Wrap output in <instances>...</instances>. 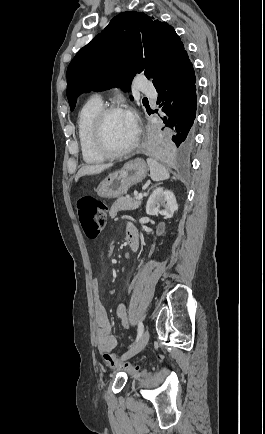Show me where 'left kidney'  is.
Instances as JSON below:
<instances>
[{"label": "left kidney", "mask_w": 265, "mask_h": 434, "mask_svg": "<svg viewBox=\"0 0 265 434\" xmlns=\"http://www.w3.org/2000/svg\"><path fill=\"white\" fill-rule=\"evenodd\" d=\"M159 206H163L164 210H159ZM176 210H178V206L173 192L164 190V188H156L146 204V214L149 216L161 214L165 218H173Z\"/></svg>", "instance_id": "5707ae66"}]
</instances>
